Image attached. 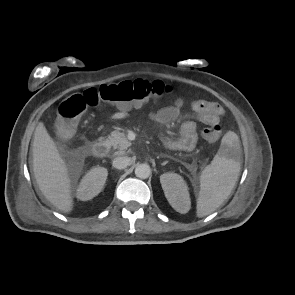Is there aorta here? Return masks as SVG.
<instances>
[{
	"label": "aorta",
	"mask_w": 295,
	"mask_h": 295,
	"mask_svg": "<svg viewBox=\"0 0 295 295\" xmlns=\"http://www.w3.org/2000/svg\"><path fill=\"white\" fill-rule=\"evenodd\" d=\"M151 174V168L148 164H139L135 168V175L140 179H146Z\"/></svg>",
	"instance_id": "762f6f07"
}]
</instances>
